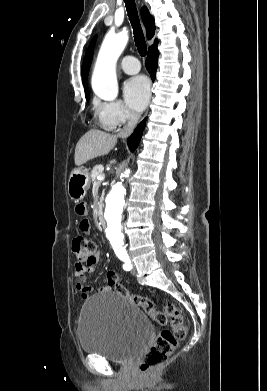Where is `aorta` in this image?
I'll return each instance as SVG.
<instances>
[{
    "mask_svg": "<svg viewBox=\"0 0 267 391\" xmlns=\"http://www.w3.org/2000/svg\"><path fill=\"white\" fill-rule=\"evenodd\" d=\"M128 39V31L124 28L118 33L107 34L103 40L92 76V89L103 100L113 101L118 95L116 62ZM128 176L129 170L121 173V180L112 187L106 197L104 216L107 222V234L116 252L124 250L121 221L125 195L124 178Z\"/></svg>",
    "mask_w": 267,
    "mask_h": 391,
    "instance_id": "762f6f07",
    "label": "aorta"
}]
</instances>
